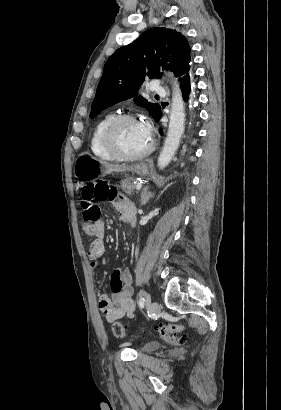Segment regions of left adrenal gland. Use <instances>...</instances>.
<instances>
[{"mask_svg": "<svg viewBox=\"0 0 281 410\" xmlns=\"http://www.w3.org/2000/svg\"><path fill=\"white\" fill-rule=\"evenodd\" d=\"M154 194V192L148 191V187H145L141 193V205H145Z\"/></svg>", "mask_w": 281, "mask_h": 410, "instance_id": "obj_1", "label": "left adrenal gland"}]
</instances>
